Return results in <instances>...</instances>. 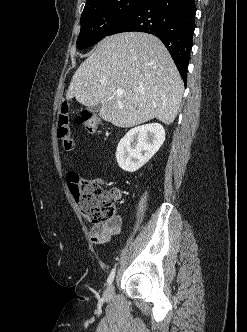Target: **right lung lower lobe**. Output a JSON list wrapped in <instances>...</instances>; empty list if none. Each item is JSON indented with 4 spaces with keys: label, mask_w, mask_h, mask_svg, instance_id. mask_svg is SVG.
Returning a JSON list of instances; mask_svg holds the SVG:
<instances>
[{
    "label": "right lung lower lobe",
    "mask_w": 247,
    "mask_h": 332,
    "mask_svg": "<svg viewBox=\"0 0 247 332\" xmlns=\"http://www.w3.org/2000/svg\"><path fill=\"white\" fill-rule=\"evenodd\" d=\"M195 14V0H147L119 19L107 36L127 31L156 35L171 54L186 86Z\"/></svg>",
    "instance_id": "right-lung-lower-lobe-1"
}]
</instances>
